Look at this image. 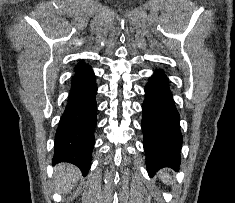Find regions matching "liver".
<instances>
[{
    "label": "liver",
    "instance_id": "liver-1",
    "mask_svg": "<svg viewBox=\"0 0 235 203\" xmlns=\"http://www.w3.org/2000/svg\"><path fill=\"white\" fill-rule=\"evenodd\" d=\"M80 171L71 164H59L55 167L54 179L59 192L66 194L77 184Z\"/></svg>",
    "mask_w": 235,
    "mask_h": 203
}]
</instances>
